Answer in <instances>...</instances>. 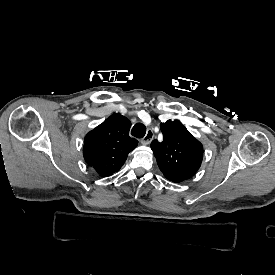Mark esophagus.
I'll return each instance as SVG.
<instances>
[{
	"label": "esophagus",
	"instance_id": "1",
	"mask_svg": "<svg viewBox=\"0 0 275 275\" xmlns=\"http://www.w3.org/2000/svg\"><path fill=\"white\" fill-rule=\"evenodd\" d=\"M154 138V132L152 129H149L143 139L141 140V143L143 145H148Z\"/></svg>",
	"mask_w": 275,
	"mask_h": 275
}]
</instances>
